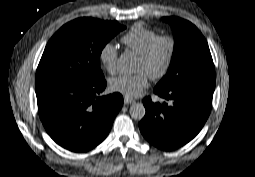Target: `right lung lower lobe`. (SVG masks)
Listing matches in <instances>:
<instances>
[{"mask_svg": "<svg viewBox=\"0 0 255 177\" xmlns=\"http://www.w3.org/2000/svg\"><path fill=\"white\" fill-rule=\"evenodd\" d=\"M105 87L104 77L88 83L47 80L36 84L39 116L57 144L84 152L105 139L123 105L119 93L98 97Z\"/></svg>", "mask_w": 255, "mask_h": 177, "instance_id": "obj_1", "label": "right lung lower lobe"}]
</instances>
